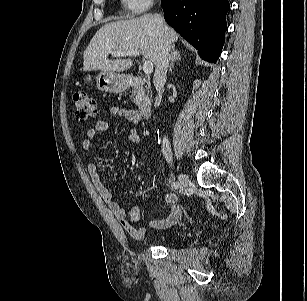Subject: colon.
Masks as SVG:
<instances>
[{"label": "colon", "mask_w": 307, "mask_h": 301, "mask_svg": "<svg viewBox=\"0 0 307 301\" xmlns=\"http://www.w3.org/2000/svg\"><path fill=\"white\" fill-rule=\"evenodd\" d=\"M75 116L79 121L92 118L97 113L96 100L86 93H76L73 96Z\"/></svg>", "instance_id": "obj_1"}]
</instances>
